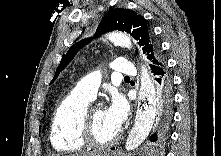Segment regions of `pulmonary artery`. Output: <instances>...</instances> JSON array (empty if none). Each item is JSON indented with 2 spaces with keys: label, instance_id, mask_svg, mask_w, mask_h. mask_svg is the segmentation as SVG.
<instances>
[{
  "label": "pulmonary artery",
  "instance_id": "e3ab8cb5",
  "mask_svg": "<svg viewBox=\"0 0 221 156\" xmlns=\"http://www.w3.org/2000/svg\"><path fill=\"white\" fill-rule=\"evenodd\" d=\"M111 69L119 75L130 76L136 72L135 66L124 58H117L111 64ZM101 83L100 71H95L83 77L75 89L80 93L94 99Z\"/></svg>",
  "mask_w": 221,
  "mask_h": 156
}]
</instances>
